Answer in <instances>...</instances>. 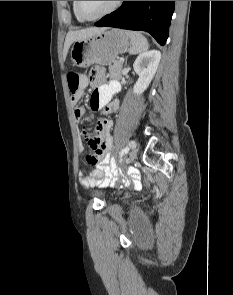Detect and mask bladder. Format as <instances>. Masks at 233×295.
<instances>
[{"instance_id": "31cf9c89", "label": "bladder", "mask_w": 233, "mask_h": 295, "mask_svg": "<svg viewBox=\"0 0 233 295\" xmlns=\"http://www.w3.org/2000/svg\"><path fill=\"white\" fill-rule=\"evenodd\" d=\"M93 194L94 195H100L101 193L99 191H94Z\"/></svg>"}]
</instances>
